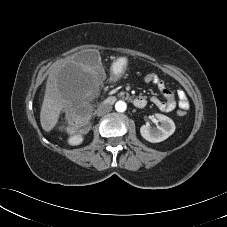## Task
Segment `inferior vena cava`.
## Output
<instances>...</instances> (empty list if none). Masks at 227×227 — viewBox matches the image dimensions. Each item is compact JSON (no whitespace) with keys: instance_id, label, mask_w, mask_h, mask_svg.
Returning <instances> with one entry per match:
<instances>
[{"instance_id":"inferior-vena-cava-1","label":"inferior vena cava","mask_w":227,"mask_h":227,"mask_svg":"<svg viewBox=\"0 0 227 227\" xmlns=\"http://www.w3.org/2000/svg\"><path fill=\"white\" fill-rule=\"evenodd\" d=\"M112 110V106L109 104L102 103L96 110L97 116H102Z\"/></svg>"}]
</instances>
